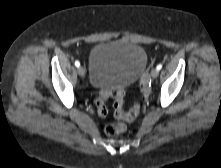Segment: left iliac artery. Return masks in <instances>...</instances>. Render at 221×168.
<instances>
[{
	"mask_svg": "<svg viewBox=\"0 0 221 168\" xmlns=\"http://www.w3.org/2000/svg\"><path fill=\"white\" fill-rule=\"evenodd\" d=\"M162 68V64L157 65L156 69L160 70Z\"/></svg>",
	"mask_w": 221,
	"mask_h": 168,
	"instance_id": "1",
	"label": "left iliac artery"
}]
</instances>
